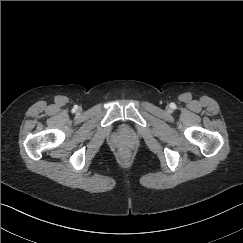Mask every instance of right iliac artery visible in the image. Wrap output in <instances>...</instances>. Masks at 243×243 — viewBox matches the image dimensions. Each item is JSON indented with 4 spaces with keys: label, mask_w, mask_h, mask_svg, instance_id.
<instances>
[{
    "label": "right iliac artery",
    "mask_w": 243,
    "mask_h": 243,
    "mask_svg": "<svg viewBox=\"0 0 243 243\" xmlns=\"http://www.w3.org/2000/svg\"><path fill=\"white\" fill-rule=\"evenodd\" d=\"M77 109V106H74L73 110L75 111Z\"/></svg>",
    "instance_id": "obj_1"
}]
</instances>
